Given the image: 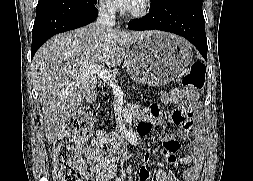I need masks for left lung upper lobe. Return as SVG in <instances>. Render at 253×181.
<instances>
[{"label": "left lung upper lobe", "mask_w": 253, "mask_h": 181, "mask_svg": "<svg viewBox=\"0 0 253 181\" xmlns=\"http://www.w3.org/2000/svg\"><path fill=\"white\" fill-rule=\"evenodd\" d=\"M173 1H176V0H153V2L150 5V10L152 11L158 10L164 5L171 3ZM193 1L202 2V0H193Z\"/></svg>", "instance_id": "left-lung-upper-lobe-1"}]
</instances>
